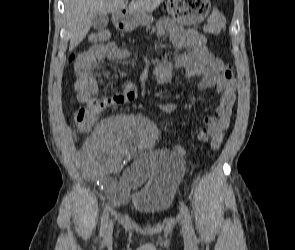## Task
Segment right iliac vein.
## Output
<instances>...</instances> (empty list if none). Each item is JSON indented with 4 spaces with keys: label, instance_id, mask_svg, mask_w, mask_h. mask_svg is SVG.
<instances>
[{
    "label": "right iliac vein",
    "instance_id": "1",
    "mask_svg": "<svg viewBox=\"0 0 295 250\" xmlns=\"http://www.w3.org/2000/svg\"><path fill=\"white\" fill-rule=\"evenodd\" d=\"M112 232H113V220H110L105 229V233H104L105 238L109 239L112 236Z\"/></svg>",
    "mask_w": 295,
    "mask_h": 250
}]
</instances>
